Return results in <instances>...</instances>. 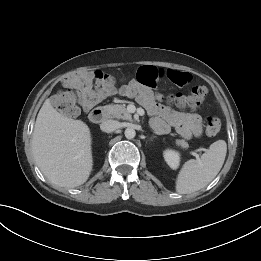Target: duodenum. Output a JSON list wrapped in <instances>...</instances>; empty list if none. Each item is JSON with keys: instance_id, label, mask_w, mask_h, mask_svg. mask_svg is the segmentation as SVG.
Segmentation results:
<instances>
[{"instance_id": "duodenum-1", "label": "duodenum", "mask_w": 261, "mask_h": 261, "mask_svg": "<svg viewBox=\"0 0 261 261\" xmlns=\"http://www.w3.org/2000/svg\"><path fill=\"white\" fill-rule=\"evenodd\" d=\"M105 116V109L103 107H96L90 112L89 119L91 122L98 124L104 121Z\"/></svg>"}]
</instances>
